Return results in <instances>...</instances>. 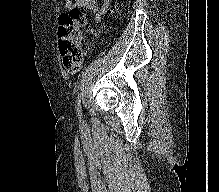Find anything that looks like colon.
<instances>
[{
  "label": "colon",
  "mask_w": 219,
  "mask_h": 192,
  "mask_svg": "<svg viewBox=\"0 0 219 192\" xmlns=\"http://www.w3.org/2000/svg\"><path fill=\"white\" fill-rule=\"evenodd\" d=\"M85 27L86 18L77 7L60 16L58 26L59 51L65 69L71 74L78 72L82 65L80 42Z\"/></svg>",
  "instance_id": "colon-1"
}]
</instances>
